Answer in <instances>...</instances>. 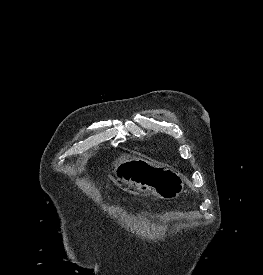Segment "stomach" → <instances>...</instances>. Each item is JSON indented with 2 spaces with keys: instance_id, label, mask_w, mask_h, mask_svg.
<instances>
[{
  "instance_id": "1",
  "label": "stomach",
  "mask_w": 263,
  "mask_h": 275,
  "mask_svg": "<svg viewBox=\"0 0 263 275\" xmlns=\"http://www.w3.org/2000/svg\"><path fill=\"white\" fill-rule=\"evenodd\" d=\"M114 174L117 180L128 187L164 200L175 199L184 190L180 173L137 157L128 156L120 160L115 165Z\"/></svg>"
}]
</instances>
